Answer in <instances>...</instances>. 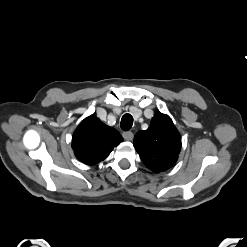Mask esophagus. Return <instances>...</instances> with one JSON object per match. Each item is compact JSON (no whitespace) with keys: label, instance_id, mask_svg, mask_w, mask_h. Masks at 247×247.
I'll list each match as a JSON object with an SVG mask.
<instances>
[{"label":"esophagus","instance_id":"esophagus-1","mask_svg":"<svg viewBox=\"0 0 247 247\" xmlns=\"http://www.w3.org/2000/svg\"><path fill=\"white\" fill-rule=\"evenodd\" d=\"M122 136H123V138H124L125 140H127V141H132V140H133V137H134V135H133L132 132H124V133L122 134Z\"/></svg>","mask_w":247,"mask_h":247}]
</instances>
